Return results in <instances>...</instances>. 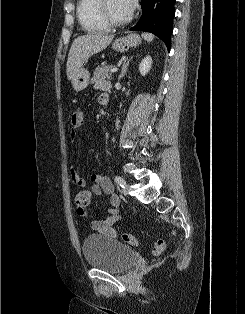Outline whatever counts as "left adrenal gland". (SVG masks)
I'll list each match as a JSON object with an SVG mask.
<instances>
[{"mask_svg": "<svg viewBox=\"0 0 245 314\" xmlns=\"http://www.w3.org/2000/svg\"><path fill=\"white\" fill-rule=\"evenodd\" d=\"M132 58L133 57H130L128 59V57H127L123 60V64H122V68H121V74L119 76L120 79L126 75V71H127L128 66H129V62L131 61Z\"/></svg>", "mask_w": 245, "mask_h": 314, "instance_id": "1", "label": "left adrenal gland"}]
</instances>
